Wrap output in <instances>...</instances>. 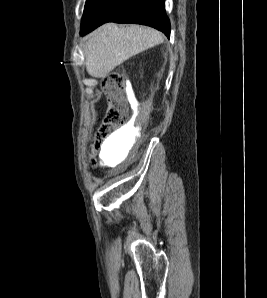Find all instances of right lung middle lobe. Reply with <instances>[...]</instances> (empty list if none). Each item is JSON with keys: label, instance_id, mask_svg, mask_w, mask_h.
<instances>
[{"label": "right lung middle lobe", "instance_id": "right-lung-middle-lobe-1", "mask_svg": "<svg viewBox=\"0 0 267 298\" xmlns=\"http://www.w3.org/2000/svg\"><path fill=\"white\" fill-rule=\"evenodd\" d=\"M106 0H87L84 8L82 23L90 21Z\"/></svg>", "mask_w": 267, "mask_h": 298}]
</instances>
